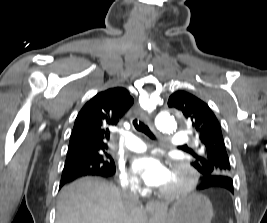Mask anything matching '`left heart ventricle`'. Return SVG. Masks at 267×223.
I'll list each match as a JSON object with an SVG mask.
<instances>
[{
	"mask_svg": "<svg viewBox=\"0 0 267 223\" xmlns=\"http://www.w3.org/2000/svg\"><path fill=\"white\" fill-rule=\"evenodd\" d=\"M184 183L183 176H171L169 181L164 185L163 189H170L176 186H180Z\"/></svg>",
	"mask_w": 267,
	"mask_h": 223,
	"instance_id": "b2bd125f",
	"label": "left heart ventricle"
}]
</instances>
